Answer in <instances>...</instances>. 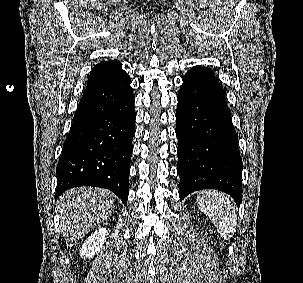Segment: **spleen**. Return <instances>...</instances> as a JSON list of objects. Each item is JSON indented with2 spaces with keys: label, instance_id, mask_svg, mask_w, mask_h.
I'll list each match as a JSON object with an SVG mask.
<instances>
[{
  "label": "spleen",
  "instance_id": "obj_1",
  "mask_svg": "<svg viewBox=\"0 0 303 283\" xmlns=\"http://www.w3.org/2000/svg\"><path fill=\"white\" fill-rule=\"evenodd\" d=\"M198 208L210 218L218 233L230 239L237 225L235 206L230 198L215 190L202 191L196 198Z\"/></svg>",
  "mask_w": 303,
  "mask_h": 283
}]
</instances>
